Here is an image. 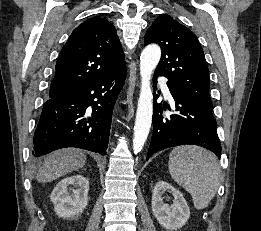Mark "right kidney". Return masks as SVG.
Returning a JSON list of instances; mask_svg holds the SVG:
<instances>
[{
	"label": "right kidney",
	"mask_w": 261,
	"mask_h": 231,
	"mask_svg": "<svg viewBox=\"0 0 261 231\" xmlns=\"http://www.w3.org/2000/svg\"><path fill=\"white\" fill-rule=\"evenodd\" d=\"M88 190L89 181L82 175L61 180L50 195L56 214L63 218L81 214L88 204Z\"/></svg>",
	"instance_id": "obj_1"
}]
</instances>
